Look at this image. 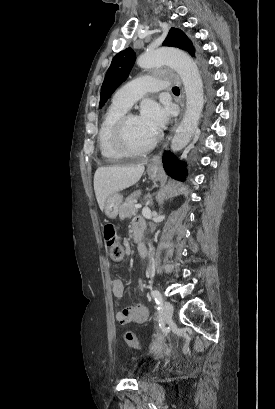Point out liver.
Instances as JSON below:
<instances>
[{"label":"liver","mask_w":275,"mask_h":409,"mask_svg":"<svg viewBox=\"0 0 275 409\" xmlns=\"http://www.w3.org/2000/svg\"><path fill=\"white\" fill-rule=\"evenodd\" d=\"M144 164L136 166H98L94 174V190L98 205L103 211L107 196L138 182Z\"/></svg>","instance_id":"liver-1"}]
</instances>
